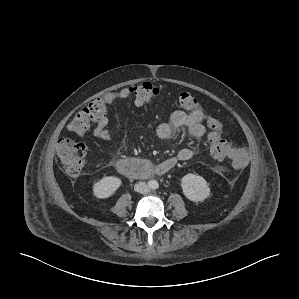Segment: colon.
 Wrapping results in <instances>:
<instances>
[{
    "mask_svg": "<svg viewBox=\"0 0 299 299\" xmlns=\"http://www.w3.org/2000/svg\"><path fill=\"white\" fill-rule=\"evenodd\" d=\"M130 92L143 103L152 101L159 95V88L150 82H143L131 86ZM179 106L186 111L198 109V100L188 92L179 95ZM107 104L103 97L89 102L79 111L68 124L69 131L75 134H84L90 126L98 121L106 113ZM209 128L208 142L211 155L222 160L230 158L237 168H244L249 162L246 150L234 148L222 137V123L217 119H210L207 123ZM57 154L66 172L72 176L80 175L86 167L87 148L83 143L76 142L69 138H62L57 143Z\"/></svg>",
    "mask_w": 299,
    "mask_h": 299,
    "instance_id": "colon-1",
    "label": "colon"
}]
</instances>
